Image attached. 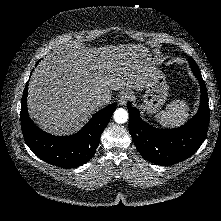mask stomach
Returning <instances> with one entry per match:
<instances>
[{
    "label": "stomach",
    "instance_id": "stomach-1",
    "mask_svg": "<svg viewBox=\"0 0 221 221\" xmlns=\"http://www.w3.org/2000/svg\"><path fill=\"white\" fill-rule=\"evenodd\" d=\"M169 88L166 77L160 71H156L145 87V93L140 97L141 108L147 114L158 112L168 97Z\"/></svg>",
    "mask_w": 221,
    "mask_h": 221
}]
</instances>
